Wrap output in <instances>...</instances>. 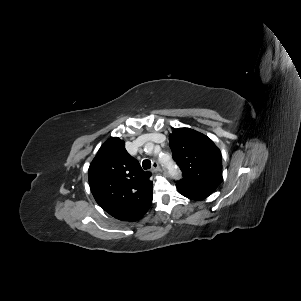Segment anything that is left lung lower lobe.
I'll return each instance as SVG.
<instances>
[{
  "mask_svg": "<svg viewBox=\"0 0 301 301\" xmlns=\"http://www.w3.org/2000/svg\"><path fill=\"white\" fill-rule=\"evenodd\" d=\"M178 189V188H177ZM180 194L183 196L192 199V200H203L207 198L210 194L203 193V192H195V191H189V190H184V189H178Z\"/></svg>",
  "mask_w": 301,
  "mask_h": 301,
  "instance_id": "1",
  "label": "left lung lower lobe"
}]
</instances>
